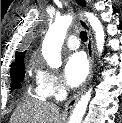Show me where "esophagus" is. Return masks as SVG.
<instances>
[{"label": "esophagus", "mask_w": 122, "mask_h": 123, "mask_svg": "<svg viewBox=\"0 0 122 123\" xmlns=\"http://www.w3.org/2000/svg\"><path fill=\"white\" fill-rule=\"evenodd\" d=\"M79 23L81 24V26L84 27V29L87 31V34H88L87 53H88V58H89V63H90V71H89V75H88L84 85L82 86L81 90L66 104V106L64 108L65 114H69L72 112L76 102L78 101L81 93L85 90L87 84L89 83V81L92 77V73H93L94 41H93L92 32H91V29H90L88 23L86 22V20L84 18L80 17Z\"/></svg>", "instance_id": "34e87169"}]
</instances>
